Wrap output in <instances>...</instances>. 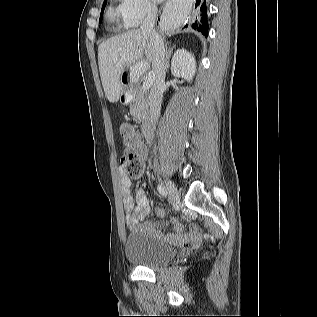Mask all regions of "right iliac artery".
Masks as SVG:
<instances>
[{
	"instance_id": "1",
	"label": "right iliac artery",
	"mask_w": 317,
	"mask_h": 317,
	"mask_svg": "<svg viewBox=\"0 0 317 317\" xmlns=\"http://www.w3.org/2000/svg\"><path fill=\"white\" fill-rule=\"evenodd\" d=\"M157 190L162 196L167 197L168 192L164 186L158 185Z\"/></svg>"
}]
</instances>
